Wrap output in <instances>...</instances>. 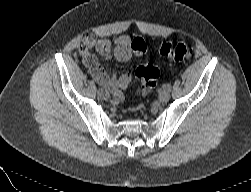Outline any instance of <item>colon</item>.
Instances as JSON below:
<instances>
[{
    "label": "colon",
    "mask_w": 251,
    "mask_h": 192,
    "mask_svg": "<svg viewBox=\"0 0 251 192\" xmlns=\"http://www.w3.org/2000/svg\"><path fill=\"white\" fill-rule=\"evenodd\" d=\"M159 53L175 61L187 62L192 58L194 52L183 42H164L160 45ZM159 75V69L152 63H145L137 67L135 76L141 83L140 92L143 96L149 95L153 91Z\"/></svg>",
    "instance_id": "1"
}]
</instances>
